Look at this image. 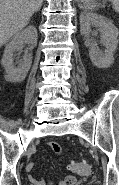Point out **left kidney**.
<instances>
[{
  "label": "left kidney",
  "instance_id": "5707ae66",
  "mask_svg": "<svg viewBox=\"0 0 119 185\" xmlns=\"http://www.w3.org/2000/svg\"><path fill=\"white\" fill-rule=\"evenodd\" d=\"M96 27L101 33V43L106 47L102 53L95 46L89 50L92 63L101 69L109 68L113 62V53L118 45L119 31L106 17L93 12H82L80 14V32L84 36H89L91 27Z\"/></svg>",
  "mask_w": 119,
  "mask_h": 185
}]
</instances>
